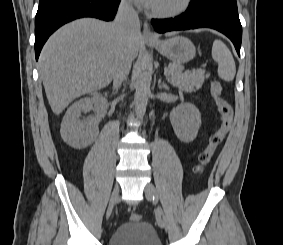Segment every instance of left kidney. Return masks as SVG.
Returning <instances> with one entry per match:
<instances>
[{
	"instance_id": "1",
	"label": "left kidney",
	"mask_w": 283,
	"mask_h": 245,
	"mask_svg": "<svg viewBox=\"0 0 283 245\" xmlns=\"http://www.w3.org/2000/svg\"><path fill=\"white\" fill-rule=\"evenodd\" d=\"M170 121L179 140L192 142L201 126V114L193 104H180L170 113Z\"/></svg>"
}]
</instances>
